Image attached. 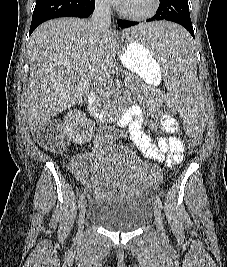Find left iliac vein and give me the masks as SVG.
I'll use <instances>...</instances> for the list:
<instances>
[{"label":"left iliac vein","mask_w":227,"mask_h":267,"mask_svg":"<svg viewBox=\"0 0 227 267\" xmlns=\"http://www.w3.org/2000/svg\"><path fill=\"white\" fill-rule=\"evenodd\" d=\"M154 217H155L156 227H157V231L159 235L164 236L165 230H164V225H163V218H162L161 210L158 205L154 206Z\"/></svg>","instance_id":"4c4485c4"}]
</instances>
